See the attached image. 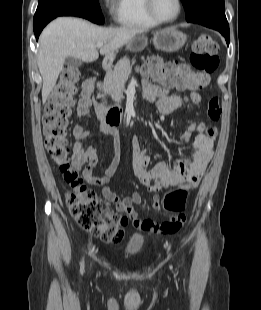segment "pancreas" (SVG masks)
<instances>
[{
	"label": "pancreas",
	"instance_id": "1",
	"mask_svg": "<svg viewBox=\"0 0 261 310\" xmlns=\"http://www.w3.org/2000/svg\"><path fill=\"white\" fill-rule=\"evenodd\" d=\"M132 71V66L128 58H123L114 66L112 71L106 73L104 89L116 102L124 99L125 83Z\"/></svg>",
	"mask_w": 261,
	"mask_h": 310
}]
</instances>
